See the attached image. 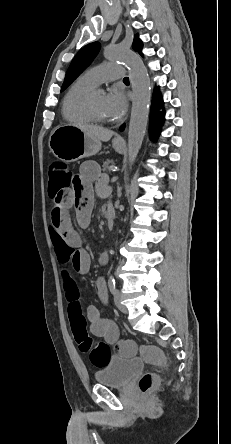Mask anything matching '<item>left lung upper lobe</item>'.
<instances>
[{"instance_id":"left-lung-upper-lobe-1","label":"left lung upper lobe","mask_w":231,"mask_h":444,"mask_svg":"<svg viewBox=\"0 0 231 444\" xmlns=\"http://www.w3.org/2000/svg\"><path fill=\"white\" fill-rule=\"evenodd\" d=\"M132 48L135 51H137L141 56H143L142 54L143 42L139 39L138 34L135 35L134 37ZM99 49H100V43L93 42L84 46L76 54V56L74 57L73 61L71 62L67 70L61 91L66 89L79 76V74L92 62V60L98 53Z\"/></svg>"}]
</instances>
